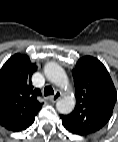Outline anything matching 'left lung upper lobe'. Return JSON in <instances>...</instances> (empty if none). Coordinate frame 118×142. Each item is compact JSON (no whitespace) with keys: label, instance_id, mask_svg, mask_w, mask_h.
<instances>
[{"label":"left lung upper lobe","instance_id":"5c2ea615","mask_svg":"<svg viewBox=\"0 0 118 142\" xmlns=\"http://www.w3.org/2000/svg\"><path fill=\"white\" fill-rule=\"evenodd\" d=\"M72 74L76 107L70 114L60 117L85 134L94 133L111 118L117 99L114 84L105 66L91 56L79 59Z\"/></svg>","mask_w":118,"mask_h":142}]
</instances>
